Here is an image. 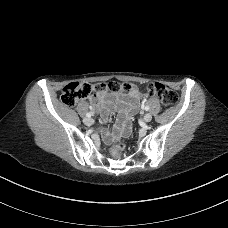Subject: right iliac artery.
<instances>
[{
  "label": "right iliac artery",
  "instance_id": "82829eb1",
  "mask_svg": "<svg viewBox=\"0 0 228 228\" xmlns=\"http://www.w3.org/2000/svg\"><path fill=\"white\" fill-rule=\"evenodd\" d=\"M86 116H87V117H91L92 114H91L90 112H88V113L86 114Z\"/></svg>",
  "mask_w": 228,
  "mask_h": 228
}]
</instances>
